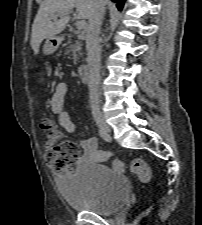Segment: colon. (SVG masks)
Returning a JSON list of instances; mask_svg holds the SVG:
<instances>
[{"label":"colon","mask_w":202,"mask_h":225,"mask_svg":"<svg viewBox=\"0 0 202 225\" xmlns=\"http://www.w3.org/2000/svg\"><path fill=\"white\" fill-rule=\"evenodd\" d=\"M40 127L46 132L49 139L60 136V133L55 129L54 122L52 120H43L40 123ZM79 157V147L71 141L51 144L46 149V160L48 166L57 176L61 177H68L73 173ZM110 157V154L106 155V158ZM112 165L116 170H124V164L119 159L113 158ZM130 171L143 183L149 182L151 179L150 166L143 158H135L131 162Z\"/></svg>","instance_id":"5ec220e1"}]
</instances>
